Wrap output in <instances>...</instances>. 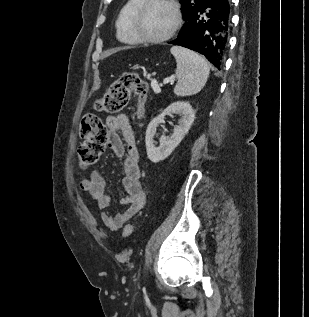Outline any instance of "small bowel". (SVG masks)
<instances>
[{"label": "small bowel", "instance_id": "obj_1", "mask_svg": "<svg viewBox=\"0 0 309 317\" xmlns=\"http://www.w3.org/2000/svg\"><path fill=\"white\" fill-rule=\"evenodd\" d=\"M106 123L109 130L107 145L116 156L123 158L122 185L126 195L120 203L125 211L112 215L106 210L110 204V196L106 192V181L98 171H93L84 178L80 182V188L97 203L103 224L116 231L143 209L147 191L141 177L139 152L129 118L125 114L109 116Z\"/></svg>", "mask_w": 309, "mask_h": 317}]
</instances>
